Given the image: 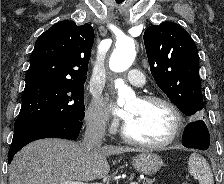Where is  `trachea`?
Instances as JSON below:
<instances>
[{
  "instance_id": "trachea-1",
  "label": "trachea",
  "mask_w": 224,
  "mask_h": 184,
  "mask_svg": "<svg viewBox=\"0 0 224 184\" xmlns=\"http://www.w3.org/2000/svg\"><path fill=\"white\" fill-rule=\"evenodd\" d=\"M124 0H116L118 4H121Z\"/></svg>"
}]
</instances>
